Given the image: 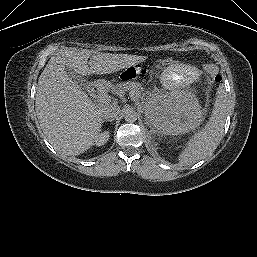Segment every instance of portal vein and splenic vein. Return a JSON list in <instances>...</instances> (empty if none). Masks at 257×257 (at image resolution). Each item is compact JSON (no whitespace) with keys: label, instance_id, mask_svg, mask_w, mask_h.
<instances>
[{"label":"portal vein and splenic vein","instance_id":"1","mask_svg":"<svg viewBox=\"0 0 257 257\" xmlns=\"http://www.w3.org/2000/svg\"><path fill=\"white\" fill-rule=\"evenodd\" d=\"M131 96H132V98H133V94H132V93H131ZM100 101L103 102V103H107V102L110 101V99L107 98V97H105V96H102V97L100 98Z\"/></svg>","mask_w":257,"mask_h":257}]
</instances>
